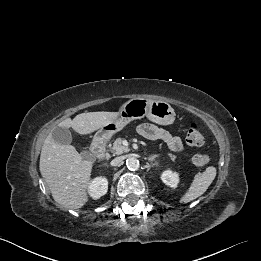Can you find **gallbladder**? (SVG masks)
<instances>
[{
	"label": "gallbladder",
	"instance_id": "gallbladder-1",
	"mask_svg": "<svg viewBox=\"0 0 261 261\" xmlns=\"http://www.w3.org/2000/svg\"><path fill=\"white\" fill-rule=\"evenodd\" d=\"M51 134L55 142L58 144H71L72 142L71 132L65 127L56 126L51 130ZM81 156L83 159H90L91 153L88 150H82Z\"/></svg>",
	"mask_w": 261,
	"mask_h": 261
}]
</instances>
